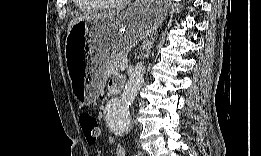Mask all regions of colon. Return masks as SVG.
Listing matches in <instances>:
<instances>
[{"instance_id": "1", "label": "colon", "mask_w": 261, "mask_h": 156, "mask_svg": "<svg viewBox=\"0 0 261 156\" xmlns=\"http://www.w3.org/2000/svg\"><path fill=\"white\" fill-rule=\"evenodd\" d=\"M78 119L86 142L88 144L95 143L99 135V125L96 117L89 111H81Z\"/></svg>"}]
</instances>
